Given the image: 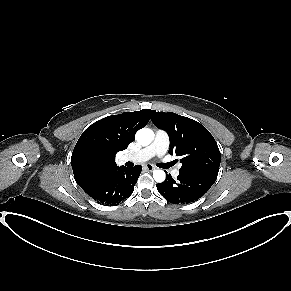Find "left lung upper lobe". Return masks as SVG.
I'll use <instances>...</instances> for the list:
<instances>
[{
    "instance_id": "1",
    "label": "left lung upper lobe",
    "mask_w": 291,
    "mask_h": 291,
    "mask_svg": "<svg viewBox=\"0 0 291 291\" xmlns=\"http://www.w3.org/2000/svg\"><path fill=\"white\" fill-rule=\"evenodd\" d=\"M151 120L170 138L169 153L180 156L181 172L218 175L220 151L210 132L200 123L175 113L152 110Z\"/></svg>"
}]
</instances>
